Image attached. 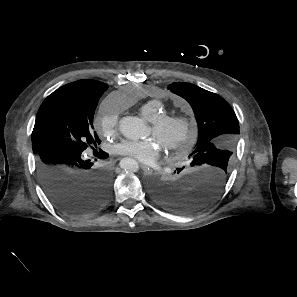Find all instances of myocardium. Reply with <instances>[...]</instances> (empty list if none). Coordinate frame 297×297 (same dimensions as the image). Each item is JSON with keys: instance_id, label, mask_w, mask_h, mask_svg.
Listing matches in <instances>:
<instances>
[{"instance_id": "1", "label": "myocardium", "mask_w": 297, "mask_h": 297, "mask_svg": "<svg viewBox=\"0 0 297 297\" xmlns=\"http://www.w3.org/2000/svg\"><path fill=\"white\" fill-rule=\"evenodd\" d=\"M155 134L164 136L163 145L168 151H182L193 139V127L187 117L180 115H162L151 122ZM174 129L178 133L174 136L170 132Z\"/></svg>"}]
</instances>
